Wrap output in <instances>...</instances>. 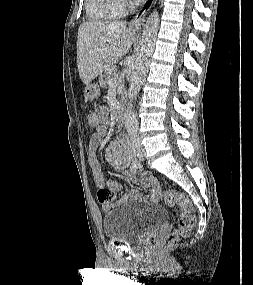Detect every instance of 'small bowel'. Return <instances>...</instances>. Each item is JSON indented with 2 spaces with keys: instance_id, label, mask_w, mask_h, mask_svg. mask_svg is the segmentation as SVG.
<instances>
[{
  "instance_id": "c3829d8e",
  "label": "small bowel",
  "mask_w": 253,
  "mask_h": 285,
  "mask_svg": "<svg viewBox=\"0 0 253 285\" xmlns=\"http://www.w3.org/2000/svg\"><path fill=\"white\" fill-rule=\"evenodd\" d=\"M102 120V124L99 127H95L96 130L90 138L88 148V158L93 171V178L96 185L100 188L107 186L113 192L122 190V185L115 181H106L102 173L101 162L99 153L104 147L105 138L107 136V110L102 109L99 113ZM131 171V170H130ZM130 171L122 169V173L126 175L133 184L145 187L148 192L142 194L137 189H131L124 194L123 200L131 198L137 201H145L150 203H158L162 198V192L157 180L148 174H141L139 176L131 175ZM102 207L104 210L110 207L109 202H103Z\"/></svg>"
}]
</instances>
